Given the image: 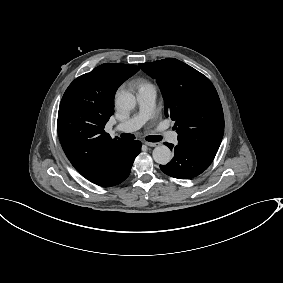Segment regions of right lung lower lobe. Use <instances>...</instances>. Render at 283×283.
I'll use <instances>...</instances> for the list:
<instances>
[{
  "label": "right lung lower lobe",
  "instance_id": "right-lung-lower-lobe-1",
  "mask_svg": "<svg viewBox=\"0 0 283 283\" xmlns=\"http://www.w3.org/2000/svg\"><path fill=\"white\" fill-rule=\"evenodd\" d=\"M140 151V141H129L126 151L114 164L107 165L99 174L87 179L102 187L120 184L129 176L134 159Z\"/></svg>",
  "mask_w": 283,
  "mask_h": 283
}]
</instances>
